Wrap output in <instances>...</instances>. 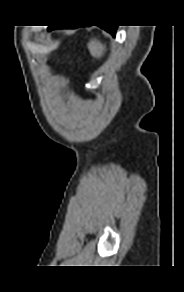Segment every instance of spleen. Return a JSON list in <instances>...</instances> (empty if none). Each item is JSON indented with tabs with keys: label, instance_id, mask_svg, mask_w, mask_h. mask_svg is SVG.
<instances>
[{
	"label": "spleen",
	"instance_id": "obj_1",
	"mask_svg": "<svg viewBox=\"0 0 184 292\" xmlns=\"http://www.w3.org/2000/svg\"><path fill=\"white\" fill-rule=\"evenodd\" d=\"M88 48L90 50L91 55L94 56L95 58H100L105 51V46L102 45L96 39L90 41V43L88 44Z\"/></svg>",
	"mask_w": 184,
	"mask_h": 292
}]
</instances>
